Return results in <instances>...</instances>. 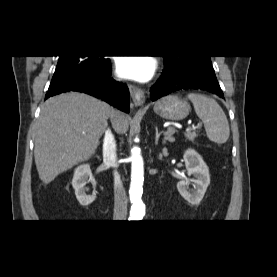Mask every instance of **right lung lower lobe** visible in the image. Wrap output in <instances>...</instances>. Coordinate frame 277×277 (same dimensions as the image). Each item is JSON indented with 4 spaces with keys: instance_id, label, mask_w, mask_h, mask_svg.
Returning a JSON list of instances; mask_svg holds the SVG:
<instances>
[{
    "instance_id": "1",
    "label": "right lung lower lobe",
    "mask_w": 277,
    "mask_h": 277,
    "mask_svg": "<svg viewBox=\"0 0 277 277\" xmlns=\"http://www.w3.org/2000/svg\"><path fill=\"white\" fill-rule=\"evenodd\" d=\"M67 91L83 92L103 99L118 109L129 112V90L126 85L111 78L110 61L91 78L50 89L46 99Z\"/></svg>"
}]
</instances>
